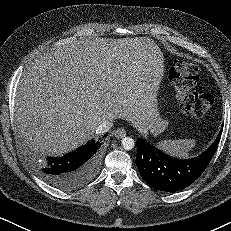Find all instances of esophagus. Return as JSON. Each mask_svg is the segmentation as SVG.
Instances as JSON below:
<instances>
[{"label": "esophagus", "instance_id": "34e87169", "mask_svg": "<svg viewBox=\"0 0 231 231\" xmlns=\"http://www.w3.org/2000/svg\"><path fill=\"white\" fill-rule=\"evenodd\" d=\"M113 134L117 139H121V138L126 136V131L122 128H119V129L115 130L113 132Z\"/></svg>", "mask_w": 231, "mask_h": 231}]
</instances>
